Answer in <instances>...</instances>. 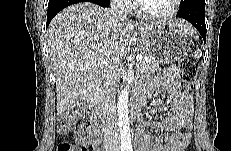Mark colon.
I'll use <instances>...</instances> for the list:
<instances>
[{
    "label": "colon",
    "instance_id": "obj_1",
    "mask_svg": "<svg viewBox=\"0 0 231 151\" xmlns=\"http://www.w3.org/2000/svg\"><path fill=\"white\" fill-rule=\"evenodd\" d=\"M180 78L184 84V92L191 96L193 92V82L198 71V64L193 56L184 57L178 65ZM80 112L78 109L72 108L62 112L58 118V132L67 134L73 128L76 132L78 143L83 141V132L79 124ZM58 151H86L83 146L75 145L67 140H61L57 146Z\"/></svg>",
    "mask_w": 231,
    "mask_h": 151
}]
</instances>
